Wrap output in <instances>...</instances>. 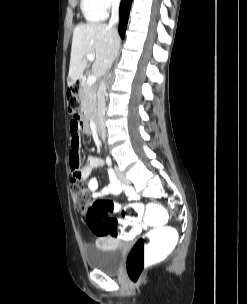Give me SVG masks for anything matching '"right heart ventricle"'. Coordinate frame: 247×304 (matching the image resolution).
<instances>
[{"label": "right heart ventricle", "instance_id": "obj_1", "mask_svg": "<svg viewBox=\"0 0 247 304\" xmlns=\"http://www.w3.org/2000/svg\"><path fill=\"white\" fill-rule=\"evenodd\" d=\"M81 11L88 22H99L107 16L106 11L99 6L97 0H81Z\"/></svg>", "mask_w": 247, "mask_h": 304}]
</instances>
